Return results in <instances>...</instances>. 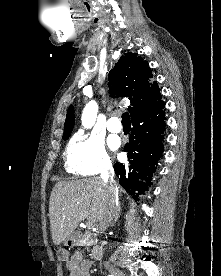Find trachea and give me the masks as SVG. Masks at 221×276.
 Returning <instances> with one entry per match:
<instances>
[{"label":"trachea","mask_w":221,"mask_h":276,"mask_svg":"<svg viewBox=\"0 0 221 276\" xmlns=\"http://www.w3.org/2000/svg\"><path fill=\"white\" fill-rule=\"evenodd\" d=\"M122 124L123 125H130L131 124L130 116L127 112L122 115Z\"/></svg>","instance_id":"3493384b"}]
</instances>
